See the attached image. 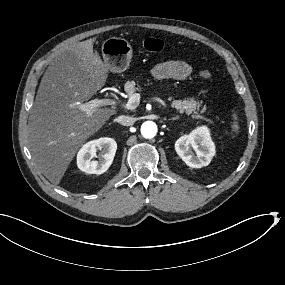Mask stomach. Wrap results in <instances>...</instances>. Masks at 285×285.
Instances as JSON below:
<instances>
[{
    "instance_id": "obj_1",
    "label": "stomach",
    "mask_w": 285,
    "mask_h": 285,
    "mask_svg": "<svg viewBox=\"0 0 285 285\" xmlns=\"http://www.w3.org/2000/svg\"><path fill=\"white\" fill-rule=\"evenodd\" d=\"M102 56L109 69L113 72H122L130 64L133 48L124 38L109 37L102 43Z\"/></svg>"
}]
</instances>
